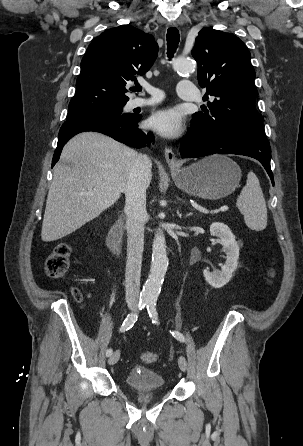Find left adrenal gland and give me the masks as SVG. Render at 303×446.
Here are the masks:
<instances>
[{
	"label": "left adrenal gland",
	"instance_id": "a2214340",
	"mask_svg": "<svg viewBox=\"0 0 303 446\" xmlns=\"http://www.w3.org/2000/svg\"><path fill=\"white\" fill-rule=\"evenodd\" d=\"M192 215V213L190 212V213H187L186 215H185V217H189V216H191Z\"/></svg>",
	"mask_w": 303,
	"mask_h": 446
}]
</instances>
